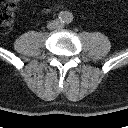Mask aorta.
<instances>
[{
	"label": "aorta",
	"mask_w": 128,
	"mask_h": 128,
	"mask_svg": "<svg viewBox=\"0 0 128 128\" xmlns=\"http://www.w3.org/2000/svg\"><path fill=\"white\" fill-rule=\"evenodd\" d=\"M60 18H61V21H63L64 23H70L73 19V15L69 11H63L60 14Z\"/></svg>",
	"instance_id": "762f6f07"
}]
</instances>
